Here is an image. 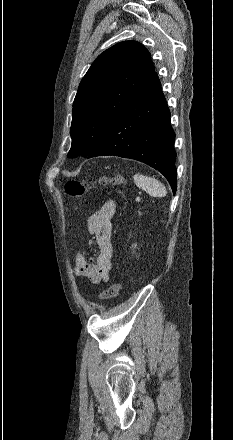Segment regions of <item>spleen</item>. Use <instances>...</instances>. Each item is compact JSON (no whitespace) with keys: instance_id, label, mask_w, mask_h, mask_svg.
I'll list each match as a JSON object with an SVG mask.
<instances>
[{"instance_id":"spleen-1","label":"spleen","mask_w":233,"mask_h":440,"mask_svg":"<svg viewBox=\"0 0 233 440\" xmlns=\"http://www.w3.org/2000/svg\"><path fill=\"white\" fill-rule=\"evenodd\" d=\"M135 184L146 191L152 197H165L167 190L165 186L153 177L144 176L142 174H135L134 177Z\"/></svg>"}]
</instances>
